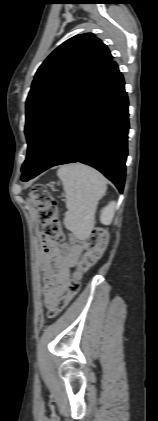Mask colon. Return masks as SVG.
<instances>
[{
    "label": "colon",
    "mask_w": 158,
    "mask_h": 421,
    "mask_svg": "<svg viewBox=\"0 0 158 421\" xmlns=\"http://www.w3.org/2000/svg\"><path fill=\"white\" fill-rule=\"evenodd\" d=\"M30 197L38 210V217L42 224V234L52 239L55 243L64 246L67 252L66 236L63 231L59 216V208L55 198L43 185H36L31 189ZM85 253L78 265L77 271L66 287V293L59 299L57 304L49 309L48 316L56 317L60 314L78 294L80 280L84 272L95 265L103 256L108 245V233L102 228H95L82 239Z\"/></svg>",
    "instance_id": "5ec220e1"
}]
</instances>
